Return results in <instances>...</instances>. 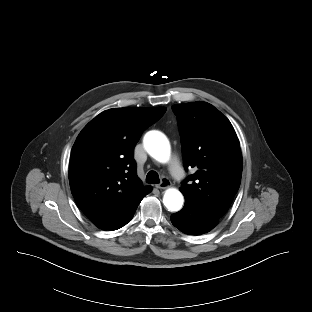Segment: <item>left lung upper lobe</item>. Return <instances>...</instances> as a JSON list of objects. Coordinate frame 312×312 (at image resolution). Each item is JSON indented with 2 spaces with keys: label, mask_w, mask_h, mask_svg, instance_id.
<instances>
[{
  "label": "left lung upper lobe",
  "mask_w": 312,
  "mask_h": 312,
  "mask_svg": "<svg viewBox=\"0 0 312 312\" xmlns=\"http://www.w3.org/2000/svg\"><path fill=\"white\" fill-rule=\"evenodd\" d=\"M172 110L178 119L185 168L196 170L180 188L185 205L219 219L241 182L242 156L235 130L206 102L176 104Z\"/></svg>",
  "instance_id": "1"
}]
</instances>
